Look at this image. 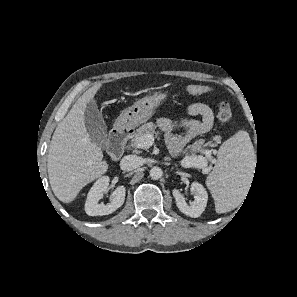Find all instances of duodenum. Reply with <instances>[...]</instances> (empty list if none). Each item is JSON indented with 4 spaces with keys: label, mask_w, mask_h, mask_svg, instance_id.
Wrapping results in <instances>:
<instances>
[{
    "label": "duodenum",
    "mask_w": 297,
    "mask_h": 297,
    "mask_svg": "<svg viewBox=\"0 0 297 297\" xmlns=\"http://www.w3.org/2000/svg\"><path fill=\"white\" fill-rule=\"evenodd\" d=\"M131 133L130 126L125 122H120L110 133L109 153L115 160L121 157L124 152V146Z\"/></svg>",
    "instance_id": "duodenum-1"
}]
</instances>
